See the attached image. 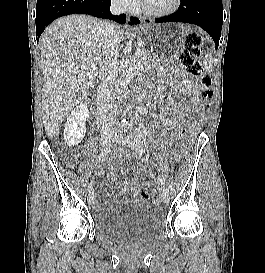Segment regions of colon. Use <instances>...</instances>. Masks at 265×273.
Returning <instances> with one entry per match:
<instances>
[{
  "mask_svg": "<svg viewBox=\"0 0 265 273\" xmlns=\"http://www.w3.org/2000/svg\"><path fill=\"white\" fill-rule=\"evenodd\" d=\"M202 50V38L197 32H190L185 37V43L180 53V60L187 72L195 75L199 78L200 84L203 87L201 97L205 101L203 104V110L209 111V104L207 101L211 98L212 94L209 89L211 85V78L209 75L204 73L203 66L199 60ZM69 164H75V157L71 156L68 160ZM129 175H135L136 170L129 168L127 170ZM142 196L144 199L151 198V191L148 187H144L142 190Z\"/></svg>",
  "mask_w": 265,
  "mask_h": 273,
  "instance_id": "obj_1",
  "label": "colon"
}]
</instances>
